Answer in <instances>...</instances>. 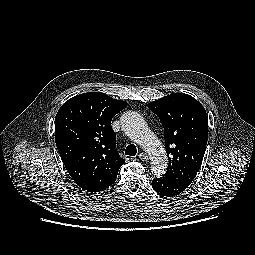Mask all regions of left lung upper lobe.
Wrapping results in <instances>:
<instances>
[{
  "label": "left lung upper lobe",
  "instance_id": "obj_1",
  "mask_svg": "<svg viewBox=\"0 0 255 255\" xmlns=\"http://www.w3.org/2000/svg\"><path fill=\"white\" fill-rule=\"evenodd\" d=\"M164 127L169 159L164 177L190 185L205 153L208 117L200 102L188 94L173 93L148 104Z\"/></svg>",
  "mask_w": 255,
  "mask_h": 255
}]
</instances>
